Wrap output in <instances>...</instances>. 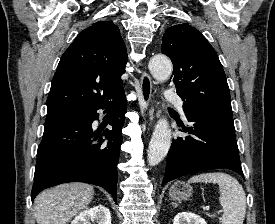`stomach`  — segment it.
<instances>
[{
  "mask_svg": "<svg viewBox=\"0 0 275 224\" xmlns=\"http://www.w3.org/2000/svg\"><path fill=\"white\" fill-rule=\"evenodd\" d=\"M192 187L185 182L177 181L169 189V196L175 201H185L192 196Z\"/></svg>",
  "mask_w": 275,
  "mask_h": 224,
  "instance_id": "0dacf381",
  "label": "stomach"
}]
</instances>
